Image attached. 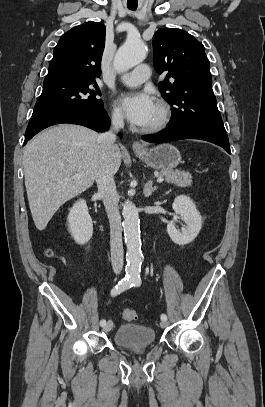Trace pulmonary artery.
Returning a JSON list of instances; mask_svg holds the SVG:
<instances>
[{"mask_svg":"<svg viewBox=\"0 0 265 407\" xmlns=\"http://www.w3.org/2000/svg\"><path fill=\"white\" fill-rule=\"evenodd\" d=\"M150 76V68L148 65H139L132 71L121 76L120 80L123 84L134 87L139 86L148 80Z\"/></svg>","mask_w":265,"mask_h":407,"instance_id":"obj_1","label":"pulmonary artery"}]
</instances>
